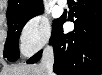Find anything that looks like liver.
Wrapping results in <instances>:
<instances>
[{"label": "liver", "mask_w": 102, "mask_h": 75, "mask_svg": "<svg viewBox=\"0 0 102 75\" xmlns=\"http://www.w3.org/2000/svg\"><path fill=\"white\" fill-rule=\"evenodd\" d=\"M1 75H48L41 64L19 65L8 67L1 71Z\"/></svg>", "instance_id": "6515ba94"}]
</instances>
